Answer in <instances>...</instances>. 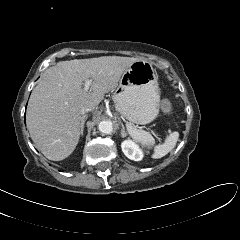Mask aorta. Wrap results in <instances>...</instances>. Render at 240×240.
I'll list each match as a JSON object with an SVG mask.
<instances>
[{"mask_svg":"<svg viewBox=\"0 0 240 240\" xmlns=\"http://www.w3.org/2000/svg\"><path fill=\"white\" fill-rule=\"evenodd\" d=\"M98 129L104 134H110L113 130V124L109 120H104L99 123Z\"/></svg>","mask_w":240,"mask_h":240,"instance_id":"aorta-1","label":"aorta"}]
</instances>
